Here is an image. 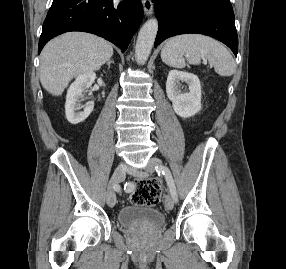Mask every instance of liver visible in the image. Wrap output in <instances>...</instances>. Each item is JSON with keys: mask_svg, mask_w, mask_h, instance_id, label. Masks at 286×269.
Returning <instances> with one entry per match:
<instances>
[{"mask_svg": "<svg viewBox=\"0 0 286 269\" xmlns=\"http://www.w3.org/2000/svg\"><path fill=\"white\" fill-rule=\"evenodd\" d=\"M112 55L111 44L98 36L65 33L49 41L41 53V84L50 94L61 95L74 77L100 69Z\"/></svg>", "mask_w": 286, "mask_h": 269, "instance_id": "1", "label": "liver"}]
</instances>
